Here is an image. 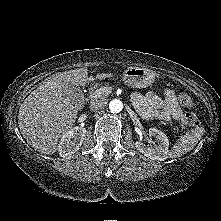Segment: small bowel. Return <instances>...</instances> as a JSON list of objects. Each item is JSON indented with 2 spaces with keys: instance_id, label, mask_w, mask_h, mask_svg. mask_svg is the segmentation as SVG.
<instances>
[{
  "instance_id": "obj_1",
  "label": "small bowel",
  "mask_w": 221,
  "mask_h": 221,
  "mask_svg": "<svg viewBox=\"0 0 221 221\" xmlns=\"http://www.w3.org/2000/svg\"><path fill=\"white\" fill-rule=\"evenodd\" d=\"M162 93L163 98L155 92H149L146 95L134 94L133 102L139 114L147 120L159 119L168 123L173 120H181L183 112L178 104L175 91L164 88Z\"/></svg>"
}]
</instances>
